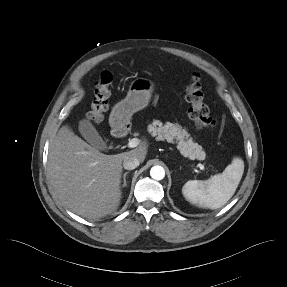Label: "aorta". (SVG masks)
Masks as SVG:
<instances>
[{
  "label": "aorta",
  "mask_w": 287,
  "mask_h": 287,
  "mask_svg": "<svg viewBox=\"0 0 287 287\" xmlns=\"http://www.w3.org/2000/svg\"><path fill=\"white\" fill-rule=\"evenodd\" d=\"M150 176L154 180H162L165 177V170L162 166H153L150 170Z\"/></svg>",
  "instance_id": "762f6f07"
}]
</instances>
